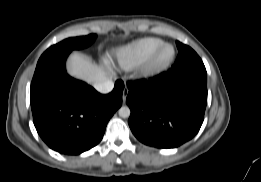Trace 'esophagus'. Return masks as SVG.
I'll return each mask as SVG.
<instances>
[{"mask_svg": "<svg viewBox=\"0 0 261 182\" xmlns=\"http://www.w3.org/2000/svg\"><path fill=\"white\" fill-rule=\"evenodd\" d=\"M128 92H129L128 88H127V87H124L123 93H122V100H123V102L126 101V97H127V95H128Z\"/></svg>", "mask_w": 261, "mask_h": 182, "instance_id": "34e87169", "label": "esophagus"}]
</instances>
